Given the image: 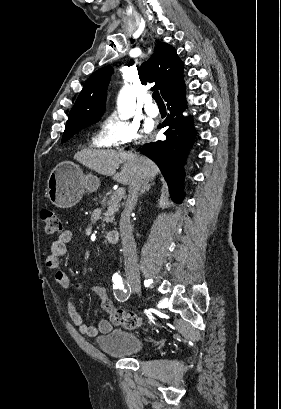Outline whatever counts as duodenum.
Segmentation results:
<instances>
[{"label":"duodenum","mask_w":281,"mask_h":409,"mask_svg":"<svg viewBox=\"0 0 281 409\" xmlns=\"http://www.w3.org/2000/svg\"><path fill=\"white\" fill-rule=\"evenodd\" d=\"M107 242L111 245H115L119 242L120 233L118 231H109L106 235Z\"/></svg>","instance_id":"obj_1"}]
</instances>
